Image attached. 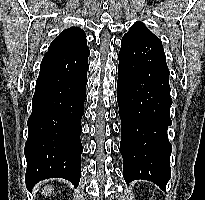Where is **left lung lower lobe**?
Segmentation results:
<instances>
[{
	"label": "left lung lower lobe",
	"instance_id": "obj_1",
	"mask_svg": "<svg viewBox=\"0 0 205 200\" xmlns=\"http://www.w3.org/2000/svg\"><path fill=\"white\" fill-rule=\"evenodd\" d=\"M117 102L121 119L120 152L126 183L144 179L165 191L171 176L172 146L169 70L159 39H122Z\"/></svg>",
	"mask_w": 205,
	"mask_h": 200
}]
</instances>
